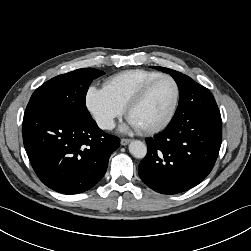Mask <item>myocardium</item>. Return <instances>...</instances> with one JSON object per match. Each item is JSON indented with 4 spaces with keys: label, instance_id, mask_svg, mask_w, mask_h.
Wrapping results in <instances>:
<instances>
[{
    "label": "myocardium",
    "instance_id": "myocardium-1",
    "mask_svg": "<svg viewBox=\"0 0 251 251\" xmlns=\"http://www.w3.org/2000/svg\"><path fill=\"white\" fill-rule=\"evenodd\" d=\"M162 79H168L170 80L173 85H174V89H175V96H174V100H173V104L172 107L168 113V115L165 117V119L163 121H161L159 124L152 126L150 128H146V129H141V131L144 134H155L158 133L162 130H164L173 120L178 105H179V100H180V86L177 82V80L169 75V74H160L157 77L149 80L148 82H146L134 95L133 97L129 100V102L127 103L126 107H125V111H126V115L129 118V114L131 112V110L136 107L139 103L142 102V100L145 98V96L147 95L148 91L151 89V87L157 83L158 81L162 80Z\"/></svg>",
    "mask_w": 251,
    "mask_h": 251
}]
</instances>
